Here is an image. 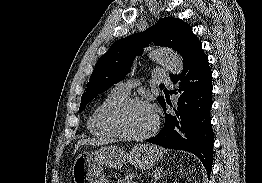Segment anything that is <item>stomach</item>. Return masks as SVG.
<instances>
[{
    "mask_svg": "<svg viewBox=\"0 0 262 183\" xmlns=\"http://www.w3.org/2000/svg\"><path fill=\"white\" fill-rule=\"evenodd\" d=\"M162 150L155 145L137 144L129 153L118 146H102L96 151L81 153L74 161V183H107L103 166L121 168L130 162L140 169H151L162 159Z\"/></svg>",
    "mask_w": 262,
    "mask_h": 183,
    "instance_id": "0dacf381",
    "label": "stomach"
}]
</instances>
